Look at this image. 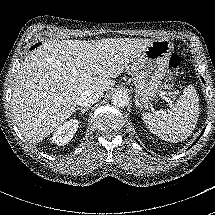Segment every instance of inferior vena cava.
I'll return each instance as SVG.
<instances>
[{
  "instance_id": "inferior-vena-cava-1",
  "label": "inferior vena cava",
  "mask_w": 215,
  "mask_h": 215,
  "mask_svg": "<svg viewBox=\"0 0 215 215\" xmlns=\"http://www.w3.org/2000/svg\"><path fill=\"white\" fill-rule=\"evenodd\" d=\"M103 95L102 91L98 92H81L77 97H76V103L82 108H88L92 104L96 103L101 99Z\"/></svg>"
}]
</instances>
